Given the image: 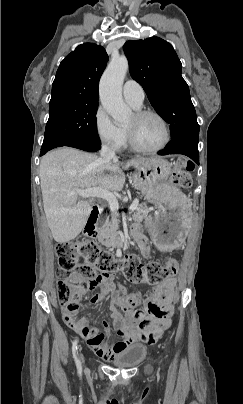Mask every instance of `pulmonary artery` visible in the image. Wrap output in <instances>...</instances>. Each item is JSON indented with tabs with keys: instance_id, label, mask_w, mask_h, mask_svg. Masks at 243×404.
I'll return each mask as SVG.
<instances>
[{
	"instance_id": "obj_1",
	"label": "pulmonary artery",
	"mask_w": 243,
	"mask_h": 404,
	"mask_svg": "<svg viewBox=\"0 0 243 404\" xmlns=\"http://www.w3.org/2000/svg\"><path fill=\"white\" fill-rule=\"evenodd\" d=\"M124 99L134 108H139L145 98L143 87L133 79H128L122 87Z\"/></svg>"
}]
</instances>
